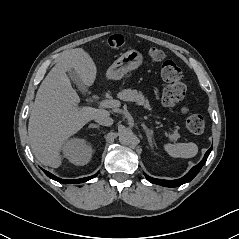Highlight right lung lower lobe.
I'll return each instance as SVG.
<instances>
[{"label": "right lung lower lobe", "instance_id": "98d812e1", "mask_svg": "<svg viewBox=\"0 0 239 239\" xmlns=\"http://www.w3.org/2000/svg\"><path fill=\"white\" fill-rule=\"evenodd\" d=\"M43 171L51 179H53L55 181H58L60 183H65V184L86 182V181H88V180H90V179H92V178H94L98 175V173H97V174H95L93 176H90V177H85V178H80V179H75V180H64V179L56 177L55 175L51 174L50 172H48L46 170H43Z\"/></svg>", "mask_w": 239, "mask_h": 239}]
</instances>
